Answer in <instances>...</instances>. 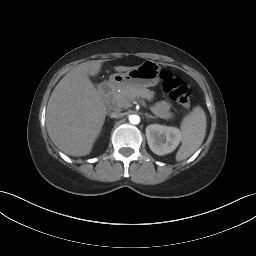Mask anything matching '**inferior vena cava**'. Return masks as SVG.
I'll list each match as a JSON object with an SVG mask.
<instances>
[{
    "instance_id": "obj_1",
    "label": "inferior vena cava",
    "mask_w": 256,
    "mask_h": 256,
    "mask_svg": "<svg viewBox=\"0 0 256 256\" xmlns=\"http://www.w3.org/2000/svg\"><path fill=\"white\" fill-rule=\"evenodd\" d=\"M122 116V113L120 112V110H115L112 113H110V117L111 118H119Z\"/></svg>"
}]
</instances>
